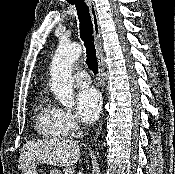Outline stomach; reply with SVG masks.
<instances>
[{
    "mask_svg": "<svg viewBox=\"0 0 175 174\" xmlns=\"http://www.w3.org/2000/svg\"><path fill=\"white\" fill-rule=\"evenodd\" d=\"M54 174H61L59 170H56L53 172ZM22 174H37L36 166L35 165H29L25 167L22 170Z\"/></svg>",
    "mask_w": 175,
    "mask_h": 174,
    "instance_id": "stomach-1",
    "label": "stomach"
}]
</instances>
